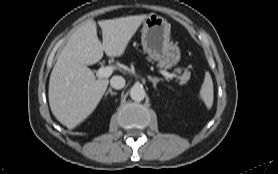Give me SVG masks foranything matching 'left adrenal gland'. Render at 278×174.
I'll return each mask as SVG.
<instances>
[{"label": "left adrenal gland", "instance_id": "obj_1", "mask_svg": "<svg viewBox=\"0 0 278 174\" xmlns=\"http://www.w3.org/2000/svg\"><path fill=\"white\" fill-rule=\"evenodd\" d=\"M147 78L153 83L154 88H156L158 82L162 81V79L156 77L147 76Z\"/></svg>", "mask_w": 278, "mask_h": 174}]
</instances>
